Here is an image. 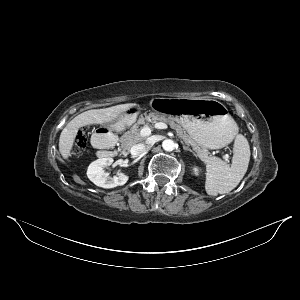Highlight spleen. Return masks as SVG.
<instances>
[{"mask_svg":"<svg viewBox=\"0 0 300 300\" xmlns=\"http://www.w3.org/2000/svg\"><path fill=\"white\" fill-rule=\"evenodd\" d=\"M233 154L231 166L216 157L207 162L205 190L208 195L229 193L244 177L251 153L247 139L241 134L235 138Z\"/></svg>","mask_w":300,"mask_h":300,"instance_id":"obj_1","label":"spleen"}]
</instances>
